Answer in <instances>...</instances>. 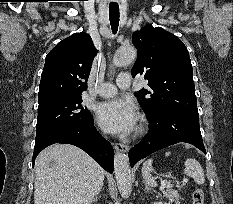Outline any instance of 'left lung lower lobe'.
Listing matches in <instances>:
<instances>
[{
    "mask_svg": "<svg viewBox=\"0 0 233 204\" xmlns=\"http://www.w3.org/2000/svg\"><path fill=\"white\" fill-rule=\"evenodd\" d=\"M148 118L150 126L148 134L128 153L131 167L140 159L179 142L190 143L204 153L206 152L200 132L198 113L166 110Z\"/></svg>",
    "mask_w": 233,
    "mask_h": 204,
    "instance_id": "left-lung-lower-lobe-1",
    "label": "left lung lower lobe"
}]
</instances>
